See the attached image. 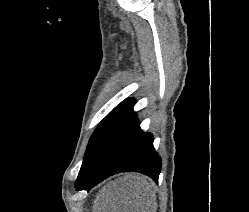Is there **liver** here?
<instances>
[{"mask_svg": "<svg viewBox=\"0 0 249 212\" xmlns=\"http://www.w3.org/2000/svg\"><path fill=\"white\" fill-rule=\"evenodd\" d=\"M146 176L125 174L108 182L94 202V212H156V194Z\"/></svg>", "mask_w": 249, "mask_h": 212, "instance_id": "6515ba94", "label": "liver"}]
</instances>
